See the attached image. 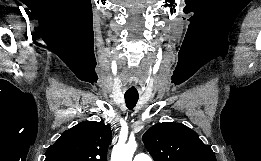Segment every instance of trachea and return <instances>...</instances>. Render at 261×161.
<instances>
[{
  "label": "trachea",
  "mask_w": 261,
  "mask_h": 161,
  "mask_svg": "<svg viewBox=\"0 0 261 161\" xmlns=\"http://www.w3.org/2000/svg\"><path fill=\"white\" fill-rule=\"evenodd\" d=\"M138 96L136 95H125V102L129 109H133L138 101Z\"/></svg>",
  "instance_id": "obj_1"
}]
</instances>
